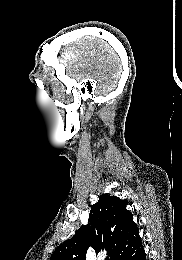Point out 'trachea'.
Instances as JSON below:
<instances>
[{
    "mask_svg": "<svg viewBox=\"0 0 182 260\" xmlns=\"http://www.w3.org/2000/svg\"><path fill=\"white\" fill-rule=\"evenodd\" d=\"M105 260H109V257H106V259Z\"/></svg>",
    "mask_w": 182,
    "mask_h": 260,
    "instance_id": "trachea-1",
    "label": "trachea"
}]
</instances>
